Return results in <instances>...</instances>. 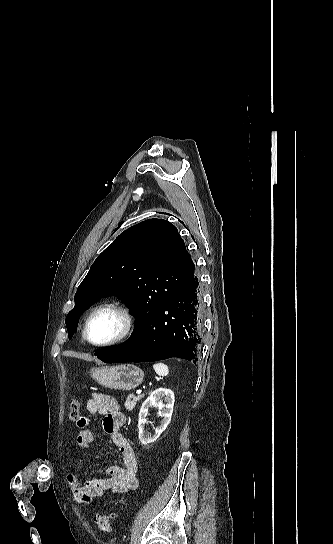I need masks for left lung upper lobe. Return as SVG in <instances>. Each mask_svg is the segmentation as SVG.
<instances>
[{"instance_id": "left-lung-upper-lobe-1", "label": "left lung upper lobe", "mask_w": 333, "mask_h": 544, "mask_svg": "<svg viewBox=\"0 0 333 544\" xmlns=\"http://www.w3.org/2000/svg\"><path fill=\"white\" fill-rule=\"evenodd\" d=\"M195 269L177 228L149 219L123 231L92 264L66 317L69 338L82 312L100 297L115 293L136 316L138 326L182 287Z\"/></svg>"}]
</instances>
